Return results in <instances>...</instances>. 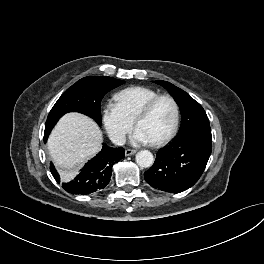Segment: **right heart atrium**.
<instances>
[{
	"label": "right heart atrium",
	"instance_id": "d8ad5b80",
	"mask_svg": "<svg viewBox=\"0 0 264 264\" xmlns=\"http://www.w3.org/2000/svg\"><path fill=\"white\" fill-rule=\"evenodd\" d=\"M101 120L107 134L116 144L124 142L126 135L133 126V120L129 119L120 107L112 101L103 106Z\"/></svg>",
	"mask_w": 264,
	"mask_h": 264
}]
</instances>
